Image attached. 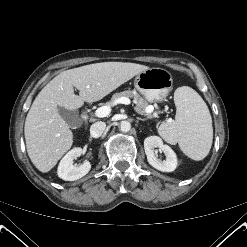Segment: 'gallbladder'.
Here are the masks:
<instances>
[{"label": "gallbladder", "mask_w": 247, "mask_h": 247, "mask_svg": "<svg viewBox=\"0 0 247 247\" xmlns=\"http://www.w3.org/2000/svg\"><path fill=\"white\" fill-rule=\"evenodd\" d=\"M58 112L69 126L79 127L82 125V120L76 110H67L63 107H59Z\"/></svg>", "instance_id": "obj_1"}]
</instances>
